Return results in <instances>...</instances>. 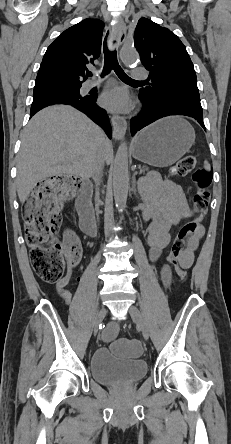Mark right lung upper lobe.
Masks as SVG:
<instances>
[{
  "label": "right lung upper lobe",
  "mask_w": 231,
  "mask_h": 444,
  "mask_svg": "<svg viewBox=\"0 0 231 444\" xmlns=\"http://www.w3.org/2000/svg\"><path fill=\"white\" fill-rule=\"evenodd\" d=\"M103 27L98 19H84L55 39L43 57L34 91L59 84L81 85L86 79V64L100 55Z\"/></svg>",
  "instance_id": "cb5924a9"
}]
</instances>
